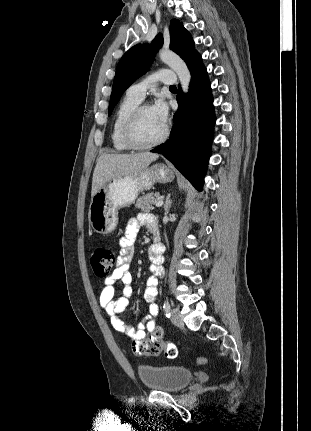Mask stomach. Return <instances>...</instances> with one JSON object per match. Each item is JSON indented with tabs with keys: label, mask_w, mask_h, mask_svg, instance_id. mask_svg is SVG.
I'll use <instances>...</instances> for the list:
<instances>
[{
	"label": "stomach",
	"mask_w": 311,
	"mask_h": 431,
	"mask_svg": "<svg viewBox=\"0 0 311 431\" xmlns=\"http://www.w3.org/2000/svg\"><path fill=\"white\" fill-rule=\"evenodd\" d=\"M174 172L165 164H153L137 176L114 178L104 184L91 198L88 219L97 233H112L119 223V210L135 204L141 192H148L154 184L173 182Z\"/></svg>",
	"instance_id": "1"
}]
</instances>
